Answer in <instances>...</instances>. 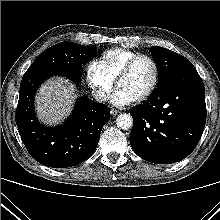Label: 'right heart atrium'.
<instances>
[{"mask_svg": "<svg viewBox=\"0 0 220 220\" xmlns=\"http://www.w3.org/2000/svg\"><path fill=\"white\" fill-rule=\"evenodd\" d=\"M87 79L95 98L105 100L112 89L114 78L109 75L101 60L95 59L88 64Z\"/></svg>", "mask_w": 220, "mask_h": 220, "instance_id": "1", "label": "right heart atrium"}]
</instances>
